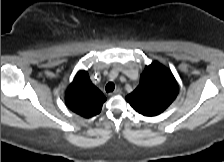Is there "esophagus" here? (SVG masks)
Wrapping results in <instances>:
<instances>
[{"label": "esophagus", "mask_w": 224, "mask_h": 162, "mask_svg": "<svg viewBox=\"0 0 224 162\" xmlns=\"http://www.w3.org/2000/svg\"><path fill=\"white\" fill-rule=\"evenodd\" d=\"M122 90L120 88L115 89L112 93H109L110 96L121 94Z\"/></svg>", "instance_id": "esophagus-1"}]
</instances>
